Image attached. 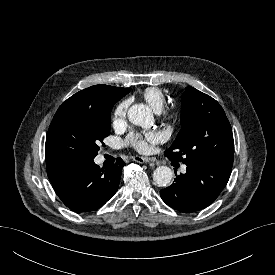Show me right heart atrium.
Masks as SVG:
<instances>
[{"label": "right heart atrium", "instance_id": "d8ad5b80", "mask_svg": "<svg viewBox=\"0 0 275 275\" xmlns=\"http://www.w3.org/2000/svg\"><path fill=\"white\" fill-rule=\"evenodd\" d=\"M129 106V101L124 100L117 105L113 114V125L115 127L121 126L125 123L126 113Z\"/></svg>", "mask_w": 275, "mask_h": 275}]
</instances>
